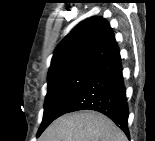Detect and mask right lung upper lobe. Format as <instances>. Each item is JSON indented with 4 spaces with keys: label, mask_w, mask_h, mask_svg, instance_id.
<instances>
[{
    "label": "right lung upper lobe",
    "mask_w": 155,
    "mask_h": 141,
    "mask_svg": "<svg viewBox=\"0 0 155 141\" xmlns=\"http://www.w3.org/2000/svg\"><path fill=\"white\" fill-rule=\"evenodd\" d=\"M116 47L112 29L104 18L86 19L55 49L48 78L76 68L96 69Z\"/></svg>",
    "instance_id": "cb5924a9"
}]
</instances>
